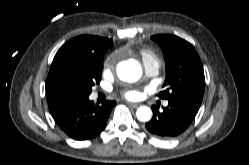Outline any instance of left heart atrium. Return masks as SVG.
Wrapping results in <instances>:
<instances>
[{"label": "left heart atrium", "mask_w": 249, "mask_h": 165, "mask_svg": "<svg viewBox=\"0 0 249 165\" xmlns=\"http://www.w3.org/2000/svg\"><path fill=\"white\" fill-rule=\"evenodd\" d=\"M123 95L125 98H127L129 100H135L141 96V92L139 90H136V89H130V90L124 91Z\"/></svg>", "instance_id": "39dd6f15"}]
</instances>
